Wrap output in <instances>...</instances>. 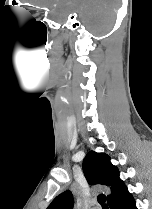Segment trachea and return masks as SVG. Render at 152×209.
I'll use <instances>...</instances> for the list:
<instances>
[{
	"label": "trachea",
	"instance_id": "trachea-1",
	"mask_svg": "<svg viewBox=\"0 0 152 209\" xmlns=\"http://www.w3.org/2000/svg\"><path fill=\"white\" fill-rule=\"evenodd\" d=\"M97 201L99 202V204H101L102 209H108V206L106 205V197L104 194H100L97 197Z\"/></svg>",
	"mask_w": 152,
	"mask_h": 209
}]
</instances>
